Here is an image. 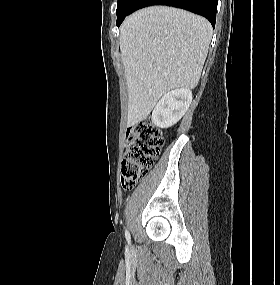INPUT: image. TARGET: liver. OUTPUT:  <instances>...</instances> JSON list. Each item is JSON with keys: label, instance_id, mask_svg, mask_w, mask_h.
Listing matches in <instances>:
<instances>
[{"label": "liver", "instance_id": "obj_1", "mask_svg": "<svg viewBox=\"0 0 280 285\" xmlns=\"http://www.w3.org/2000/svg\"><path fill=\"white\" fill-rule=\"evenodd\" d=\"M211 37L205 18L172 7L144 8L124 20L119 43L128 90L127 126L145 119L170 90L198 84Z\"/></svg>", "mask_w": 280, "mask_h": 285}]
</instances>
